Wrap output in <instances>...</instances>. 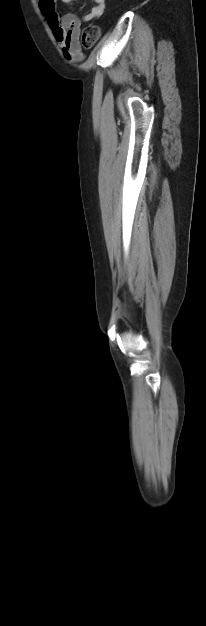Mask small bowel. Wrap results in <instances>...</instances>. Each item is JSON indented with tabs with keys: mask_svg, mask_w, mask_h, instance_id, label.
<instances>
[{
	"mask_svg": "<svg viewBox=\"0 0 206 626\" xmlns=\"http://www.w3.org/2000/svg\"><path fill=\"white\" fill-rule=\"evenodd\" d=\"M67 5H74L76 0H60ZM95 6L81 18L75 13L60 16L56 11L57 0H39L40 8L46 17L53 36L59 44L65 59L69 62H81L85 55L80 43L81 20L92 21L100 18L106 8V0H94Z\"/></svg>",
	"mask_w": 206,
	"mask_h": 626,
	"instance_id": "1",
	"label": "small bowel"
}]
</instances>
